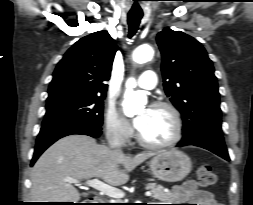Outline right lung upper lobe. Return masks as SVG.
Wrapping results in <instances>:
<instances>
[{"instance_id": "1", "label": "right lung upper lobe", "mask_w": 253, "mask_h": 205, "mask_svg": "<svg viewBox=\"0 0 253 205\" xmlns=\"http://www.w3.org/2000/svg\"><path fill=\"white\" fill-rule=\"evenodd\" d=\"M117 46L107 31L77 41L58 63L48 89L49 100L73 95L105 96Z\"/></svg>"}]
</instances>
